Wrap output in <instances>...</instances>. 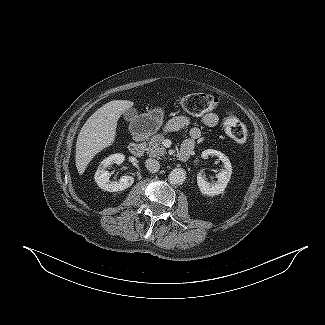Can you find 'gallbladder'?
I'll list each match as a JSON object with an SVG mask.
<instances>
[{
  "mask_svg": "<svg viewBox=\"0 0 325 325\" xmlns=\"http://www.w3.org/2000/svg\"><path fill=\"white\" fill-rule=\"evenodd\" d=\"M124 119L127 121H134L138 116L137 110L134 108H130L124 112Z\"/></svg>",
  "mask_w": 325,
  "mask_h": 325,
  "instance_id": "1",
  "label": "gallbladder"
}]
</instances>
